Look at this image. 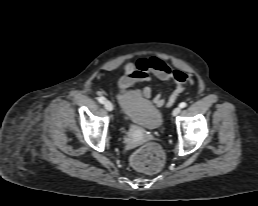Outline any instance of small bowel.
<instances>
[{
    "mask_svg": "<svg viewBox=\"0 0 258 206\" xmlns=\"http://www.w3.org/2000/svg\"><path fill=\"white\" fill-rule=\"evenodd\" d=\"M151 76L169 81L173 84L174 90L168 98L158 94L154 97L153 102L156 106H171L177 97L184 90L187 82H192V77L182 70L173 68L167 62L156 58H140L135 63L127 62L123 67V73L117 79L119 89L124 92L129 87L137 83H146L142 93L145 97L151 96L150 80Z\"/></svg>",
    "mask_w": 258,
    "mask_h": 206,
    "instance_id": "obj_1",
    "label": "small bowel"
}]
</instances>
